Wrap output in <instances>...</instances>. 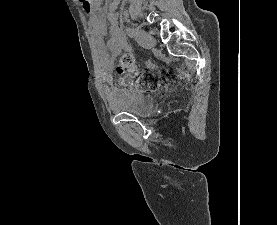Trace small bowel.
Here are the masks:
<instances>
[{"mask_svg": "<svg viewBox=\"0 0 277 225\" xmlns=\"http://www.w3.org/2000/svg\"><path fill=\"white\" fill-rule=\"evenodd\" d=\"M120 0H111L108 9H100L95 13L90 6L87 11L90 13L89 27L95 43L98 55L103 63L108 64L122 51L130 52V47L125 43L120 28L117 25V20L114 15V10L117 8ZM84 6H86L84 4ZM105 19L110 22V40L107 47L104 46L103 39L106 35ZM151 67V65H149ZM135 67L133 68V70ZM104 81V91L107 99L110 102H115L116 95L119 90L111 85V75L108 70L102 74ZM120 85H124V80H119Z\"/></svg>", "mask_w": 277, "mask_h": 225, "instance_id": "small-bowel-1", "label": "small bowel"}]
</instances>
